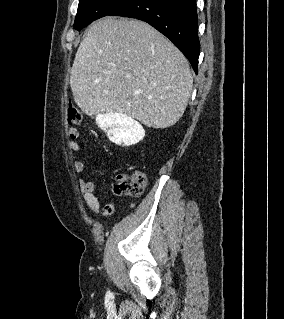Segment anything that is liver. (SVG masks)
<instances>
[{"mask_svg": "<svg viewBox=\"0 0 284 319\" xmlns=\"http://www.w3.org/2000/svg\"><path fill=\"white\" fill-rule=\"evenodd\" d=\"M193 77L179 49L149 24L105 17L80 43L70 86L87 115L122 113L167 128L183 115Z\"/></svg>", "mask_w": 284, "mask_h": 319, "instance_id": "obj_1", "label": "liver"}]
</instances>
